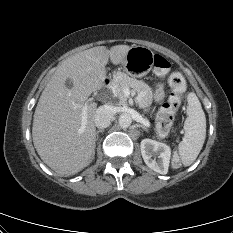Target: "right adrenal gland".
<instances>
[{
	"instance_id": "2a0ac1e0",
	"label": "right adrenal gland",
	"mask_w": 233,
	"mask_h": 233,
	"mask_svg": "<svg viewBox=\"0 0 233 233\" xmlns=\"http://www.w3.org/2000/svg\"><path fill=\"white\" fill-rule=\"evenodd\" d=\"M101 132H104V130L103 129H99V130L96 131V139L97 140L99 138V133H101Z\"/></svg>"
}]
</instances>
